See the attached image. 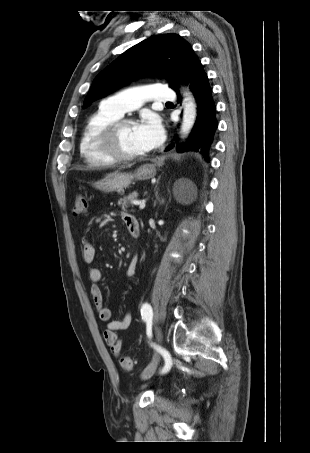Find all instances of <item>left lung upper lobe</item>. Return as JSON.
Here are the masks:
<instances>
[{
    "label": "left lung upper lobe",
    "instance_id": "obj_1",
    "mask_svg": "<svg viewBox=\"0 0 310 453\" xmlns=\"http://www.w3.org/2000/svg\"><path fill=\"white\" fill-rule=\"evenodd\" d=\"M193 52L190 44L175 33L161 34L138 43L96 76L84 107L144 75L179 80ZM175 86L170 83L171 88Z\"/></svg>",
    "mask_w": 310,
    "mask_h": 453
}]
</instances>
